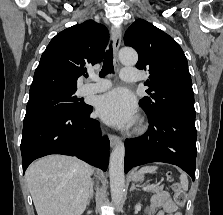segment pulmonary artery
<instances>
[{"mask_svg":"<svg viewBox=\"0 0 223 215\" xmlns=\"http://www.w3.org/2000/svg\"><path fill=\"white\" fill-rule=\"evenodd\" d=\"M137 74H142V69H133L132 65H125L124 69H121L120 76L127 83H136L138 80ZM90 80L91 83L86 84L82 89V93L85 95L102 92L112 86L111 81L107 79H99L95 76H91Z\"/></svg>","mask_w":223,"mask_h":215,"instance_id":"e3ab8cb5","label":"pulmonary artery"}]
</instances>
